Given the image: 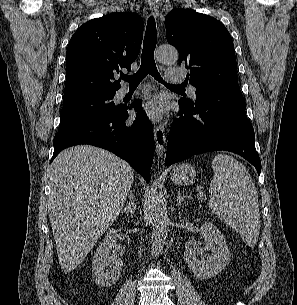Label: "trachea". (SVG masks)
<instances>
[{"label":"trachea","mask_w":297,"mask_h":305,"mask_svg":"<svg viewBox=\"0 0 297 305\" xmlns=\"http://www.w3.org/2000/svg\"><path fill=\"white\" fill-rule=\"evenodd\" d=\"M157 43V31L156 23L153 17H150L147 22L144 42H143V51L141 58V66L136 74L131 76L122 75L121 79L129 82L130 86H137L139 83L148 75H152L158 82L163 83L167 87H181V85H173L164 82L158 73L155 60H154V50Z\"/></svg>","instance_id":"3493384b"}]
</instances>
